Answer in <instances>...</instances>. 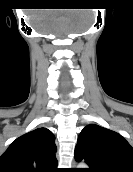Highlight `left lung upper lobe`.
<instances>
[{"label": "left lung upper lobe", "mask_w": 133, "mask_h": 172, "mask_svg": "<svg viewBox=\"0 0 133 172\" xmlns=\"http://www.w3.org/2000/svg\"><path fill=\"white\" fill-rule=\"evenodd\" d=\"M75 159L85 160V172H133V148L120 134L96 124L78 137Z\"/></svg>", "instance_id": "obj_1"}]
</instances>
